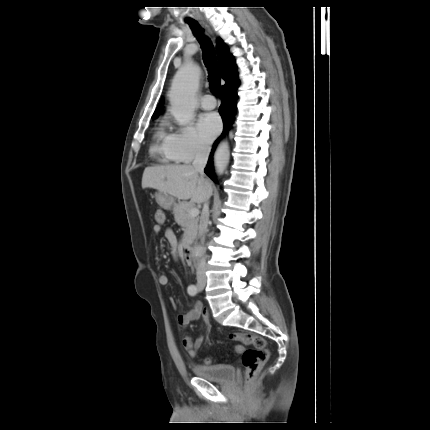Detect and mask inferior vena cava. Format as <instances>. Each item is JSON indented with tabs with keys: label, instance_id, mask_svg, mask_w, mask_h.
<instances>
[{
	"label": "inferior vena cava",
	"instance_id": "obj_1",
	"mask_svg": "<svg viewBox=\"0 0 430 430\" xmlns=\"http://www.w3.org/2000/svg\"><path fill=\"white\" fill-rule=\"evenodd\" d=\"M210 153V147H201L195 155L193 161V168L199 173L202 180H204V168L207 164L208 157ZM209 197L203 203V209L200 217V223L198 227V235L204 241L205 234L207 232L208 220H209ZM205 250H202V254L197 262V278L205 279V269H206V257L204 255Z\"/></svg>",
	"mask_w": 430,
	"mask_h": 430
}]
</instances>
